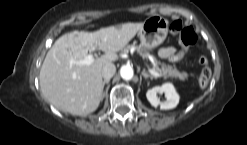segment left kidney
Masks as SVG:
<instances>
[{
  "instance_id": "1",
  "label": "left kidney",
  "mask_w": 247,
  "mask_h": 145,
  "mask_svg": "<svg viewBox=\"0 0 247 145\" xmlns=\"http://www.w3.org/2000/svg\"><path fill=\"white\" fill-rule=\"evenodd\" d=\"M157 93H164L166 101L161 102L157 98ZM146 97L150 104L154 107H160V109L168 110L175 108L179 103V95L176 92L173 84L165 83L162 86H156L147 91Z\"/></svg>"
}]
</instances>
